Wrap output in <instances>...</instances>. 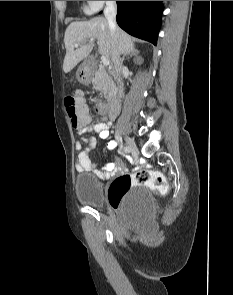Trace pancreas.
I'll return each instance as SVG.
<instances>
[{
    "mask_svg": "<svg viewBox=\"0 0 233 295\" xmlns=\"http://www.w3.org/2000/svg\"><path fill=\"white\" fill-rule=\"evenodd\" d=\"M113 75L108 74L104 68H100L95 75V85L104 94L106 99H111L116 91Z\"/></svg>",
    "mask_w": 233,
    "mask_h": 295,
    "instance_id": "1",
    "label": "pancreas"
}]
</instances>
